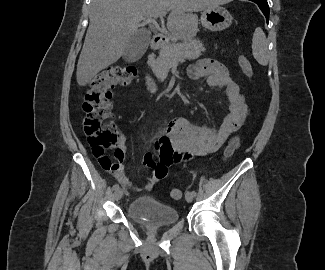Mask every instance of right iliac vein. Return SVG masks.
I'll use <instances>...</instances> for the list:
<instances>
[{
	"label": "right iliac vein",
	"mask_w": 325,
	"mask_h": 270,
	"mask_svg": "<svg viewBox=\"0 0 325 270\" xmlns=\"http://www.w3.org/2000/svg\"><path fill=\"white\" fill-rule=\"evenodd\" d=\"M122 196H123V190L122 189L119 188V189L115 190V192H114V199L115 200L121 199Z\"/></svg>",
	"instance_id": "right-iliac-vein-1"
}]
</instances>
